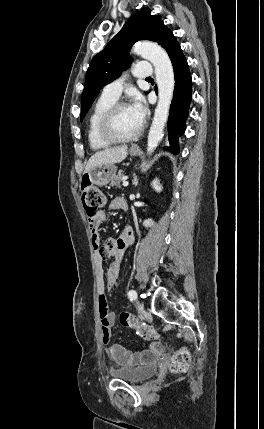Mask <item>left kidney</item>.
<instances>
[{"label": "left kidney", "mask_w": 264, "mask_h": 429, "mask_svg": "<svg viewBox=\"0 0 264 429\" xmlns=\"http://www.w3.org/2000/svg\"><path fill=\"white\" fill-rule=\"evenodd\" d=\"M151 185L155 189L156 192H161L162 186L160 185V182H159V180L157 178L152 182ZM153 224L154 223H153L152 219H148V220H145L143 222V225L145 227H151Z\"/></svg>", "instance_id": "1"}]
</instances>
